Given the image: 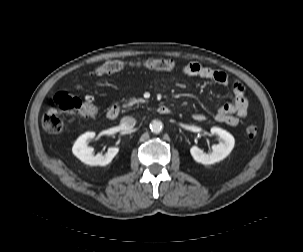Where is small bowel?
I'll list each match as a JSON object with an SVG mask.
<instances>
[{
  "instance_id": "c3829d8e",
  "label": "small bowel",
  "mask_w": 303,
  "mask_h": 252,
  "mask_svg": "<svg viewBox=\"0 0 303 252\" xmlns=\"http://www.w3.org/2000/svg\"><path fill=\"white\" fill-rule=\"evenodd\" d=\"M181 73L186 76L204 78L214 83L224 86L228 85L230 87L235 98V103L221 106L214 115L215 121L236 126L240 120L245 117L247 108L245 105L244 91L236 83L230 82L225 74L199 63L185 65L182 67ZM193 119L196 122H203L206 120V116L203 113H195Z\"/></svg>"
}]
</instances>
